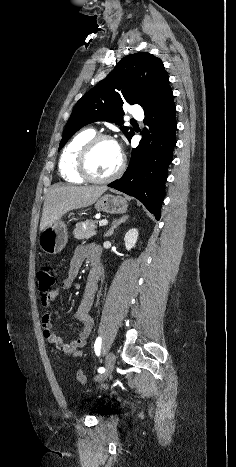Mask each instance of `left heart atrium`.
<instances>
[{"label":"left heart atrium","instance_id":"obj_1","mask_svg":"<svg viewBox=\"0 0 236 467\" xmlns=\"http://www.w3.org/2000/svg\"><path fill=\"white\" fill-rule=\"evenodd\" d=\"M115 144H116V146H117L118 151H119L120 154H121V146H120V144H119V143H115Z\"/></svg>","mask_w":236,"mask_h":467}]
</instances>
